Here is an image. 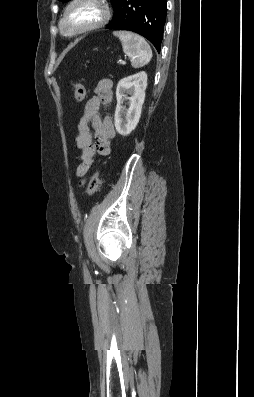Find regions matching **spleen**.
Returning a JSON list of instances; mask_svg holds the SVG:
<instances>
[{"mask_svg": "<svg viewBox=\"0 0 254 397\" xmlns=\"http://www.w3.org/2000/svg\"><path fill=\"white\" fill-rule=\"evenodd\" d=\"M113 35L120 39L133 67L139 68L150 62L152 50L143 37L130 31H114Z\"/></svg>", "mask_w": 254, "mask_h": 397, "instance_id": "1", "label": "spleen"}]
</instances>
